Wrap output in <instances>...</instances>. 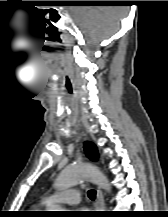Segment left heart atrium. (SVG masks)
<instances>
[{
	"label": "left heart atrium",
	"instance_id": "39dd6f15",
	"mask_svg": "<svg viewBox=\"0 0 168 217\" xmlns=\"http://www.w3.org/2000/svg\"><path fill=\"white\" fill-rule=\"evenodd\" d=\"M84 215H85V212H83V211H79L76 213L77 217H83Z\"/></svg>",
	"mask_w": 168,
	"mask_h": 217
}]
</instances>
